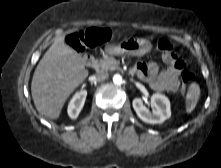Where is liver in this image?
Listing matches in <instances>:
<instances>
[{"instance_id":"6515ba94","label":"liver","mask_w":221,"mask_h":168,"mask_svg":"<svg viewBox=\"0 0 221 168\" xmlns=\"http://www.w3.org/2000/svg\"><path fill=\"white\" fill-rule=\"evenodd\" d=\"M82 57L58 36L33 74L31 94L37 111L50 119L60 116L70 94L87 78Z\"/></svg>"}]
</instances>
